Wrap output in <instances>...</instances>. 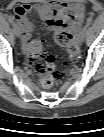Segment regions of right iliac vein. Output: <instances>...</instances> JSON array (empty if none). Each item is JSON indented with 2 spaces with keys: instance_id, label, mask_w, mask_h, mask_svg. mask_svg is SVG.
<instances>
[{
  "instance_id": "1",
  "label": "right iliac vein",
  "mask_w": 104,
  "mask_h": 137,
  "mask_svg": "<svg viewBox=\"0 0 104 137\" xmlns=\"http://www.w3.org/2000/svg\"><path fill=\"white\" fill-rule=\"evenodd\" d=\"M14 33L17 36V38H21V30L17 24L14 25Z\"/></svg>"
}]
</instances>
